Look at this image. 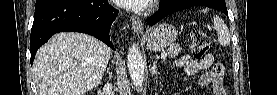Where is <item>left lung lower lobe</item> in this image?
Segmentation results:
<instances>
[{"label":"left lung lower lobe","instance_id":"0a47b994","mask_svg":"<svg viewBox=\"0 0 277 95\" xmlns=\"http://www.w3.org/2000/svg\"><path fill=\"white\" fill-rule=\"evenodd\" d=\"M209 2L210 0H170L168 2H164L161 5V9L147 19V23L152 26L171 13L184 8L202 5V3L208 4ZM216 2L218 5L220 4V8L218 10L228 15L225 1L217 0Z\"/></svg>","mask_w":277,"mask_h":95}]
</instances>
